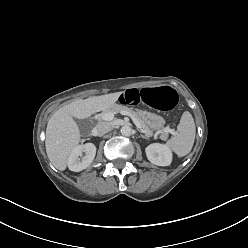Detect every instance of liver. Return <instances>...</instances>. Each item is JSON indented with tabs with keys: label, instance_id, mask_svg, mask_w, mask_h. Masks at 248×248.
Returning <instances> with one entry per match:
<instances>
[{
	"label": "liver",
	"instance_id": "obj_1",
	"mask_svg": "<svg viewBox=\"0 0 248 248\" xmlns=\"http://www.w3.org/2000/svg\"><path fill=\"white\" fill-rule=\"evenodd\" d=\"M122 92L79 99L57 110L46 128V153L52 165L60 171L67 167L68 157L79 144L81 134L73 118L85 119L95 112L111 107Z\"/></svg>",
	"mask_w": 248,
	"mask_h": 248
}]
</instances>
